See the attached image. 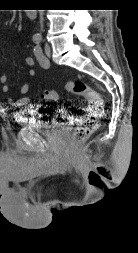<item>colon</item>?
<instances>
[{
	"instance_id": "5ec220e1",
	"label": "colon",
	"mask_w": 138,
	"mask_h": 253,
	"mask_svg": "<svg viewBox=\"0 0 138 253\" xmlns=\"http://www.w3.org/2000/svg\"><path fill=\"white\" fill-rule=\"evenodd\" d=\"M65 90L76 95H83L88 101V106L85 112L79 116L78 124L72 134L73 142L81 143L97 130L99 120L104 113V101L97 91L90 88L82 80L68 82L65 85ZM41 100L44 102H56L58 93L56 91L45 92L41 95Z\"/></svg>"
}]
</instances>
